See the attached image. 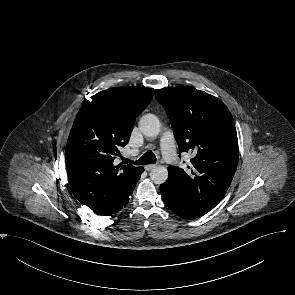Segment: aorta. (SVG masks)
Returning a JSON list of instances; mask_svg holds the SVG:
<instances>
[{
    "mask_svg": "<svg viewBox=\"0 0 295 295\" xmlns=\"http://www.w3.org/2000/svg\"><path fill=\"white\" fill-rule=\"evenodd\" d=\"M140 131L147 137H156L160 133L161 124L154 114H146L139 121ZM150 178L155 184H163L168 178L165 166H156L150 172Z\"/></svg>",
    "mask_w": 295,
    "mask_h": 295,
    "instance_id": "1",
    "label": "aorta"
}]
</instances>
